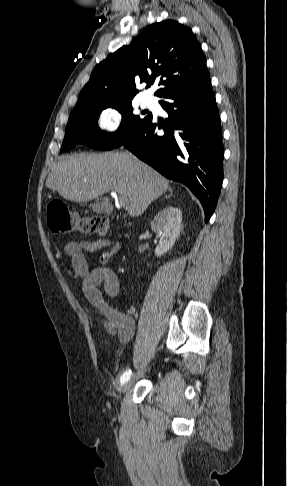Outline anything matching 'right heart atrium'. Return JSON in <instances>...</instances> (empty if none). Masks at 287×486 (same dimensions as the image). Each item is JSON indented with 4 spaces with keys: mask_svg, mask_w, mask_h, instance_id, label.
Instances as JSON below:
<instances>
[{
    "mask_svg": "<svg viewBox=\"0 0 287 486\" xmlns=\"http://www.w3.org/2000/svg\"><path fill=\"white\" fill-rule=\"evenodd\" d=\"M96 125L103 133L114 135L122 126V114L114 107L104 108L97 116Z\"/></svg>",
    "mask_w": 287,
    "mask_h": 486,
    "instance_id": "1",
    "label": "right heart atrium"
}]
</instances>
